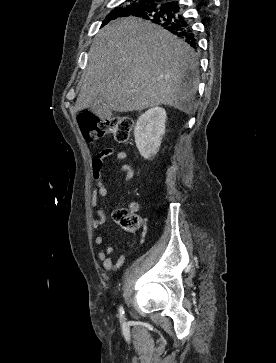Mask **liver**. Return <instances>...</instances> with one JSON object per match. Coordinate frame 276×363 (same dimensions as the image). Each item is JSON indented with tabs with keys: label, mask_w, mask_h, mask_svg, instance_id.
I'll list each match as a JSON object with an SVG mask.
<instances>
[{
	"label": "liver",
	"mask_w": 276,
	"mask_h": 363,
	"mask_svg": "<svg viewBox=\"0 0 276 363\" xmlns=\"http://www.w3.org/2000/svg\"><path fill=\"white\" fill-rule=\"evenodd\" d=\"M198 64L194 50L160 26L136 17L117 19L93 39L75 111L101 95L116 112L168 105L190 114Z\"/></svg>",
	"instance_id": "obj_1"
}]
</instances>
